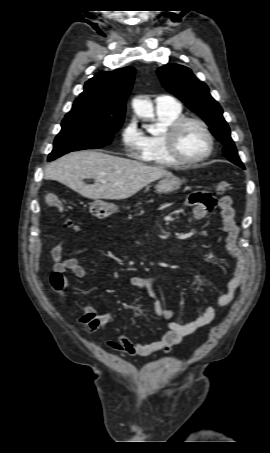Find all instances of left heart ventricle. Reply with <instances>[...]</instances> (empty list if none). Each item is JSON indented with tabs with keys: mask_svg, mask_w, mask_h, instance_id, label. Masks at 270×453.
<instances>
[{
	"mask_svg": "<svg viewBox=\"0 0 270 453\" xmlns=\"http://www.w3.org/2000/svg\"><path fill=\"white\" fill-rule=\"evenodd\" d=\"M207 137L200 126L189 123L179 133L178 152L186 158H197L207 150Z\"/></svg>",
	"mask_w": 270,
	"mask_h": 453,
	"instance_id": "1",
	"label": "left heart ventricle"
}]
</instances>
